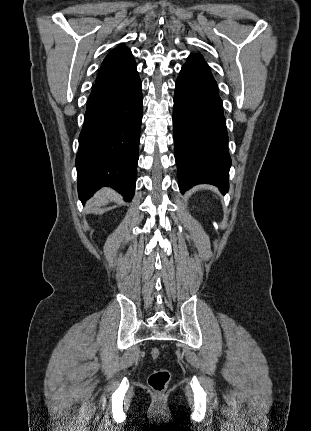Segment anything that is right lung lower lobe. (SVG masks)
Returning a JSON list of instances; mask_svg holds the SVG:
<instances>
[{"label": "right lung lower lobe", "instance_id": "right-lung-lower-lobe-1", "mask_svg": "<svg viewBox=\"0 0 311 431\" xmlns=\"http://www.w3.org/2000/svg\"><path fill=\"white\" fill-rule=\"evenodd\" d=\"M141 81L136 64L126 73L93 86L76 157L82 202L102 186L131 201L135 192L142 120Z\"/></svg>", "mask_w": 311, "mask_h": 431}]
</instances>
